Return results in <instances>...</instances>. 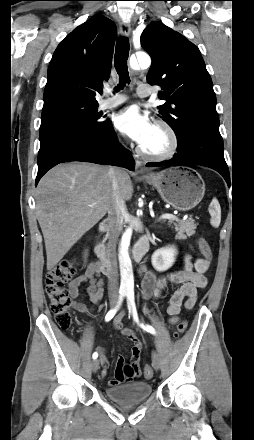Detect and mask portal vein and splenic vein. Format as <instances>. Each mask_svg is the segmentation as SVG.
I'll return each instance as SVG.
<instances>
[{"mask_svg":"<svg viewBox=\"0 0 254 440\" xmlns=\"http://www.w3.org/2000/svg\"><path fill=\"white\" fill-rule=\"evenodd\" d=\"M96 204L89 205L90 207H94ZM159 220H176L179 221V218L171 213H165L161 215Z\"/></svg>","mask_w":254,"mask_h":440,"instance_id":"18ae733b","label":"portal vein and splenic vein"}]
</instances>
